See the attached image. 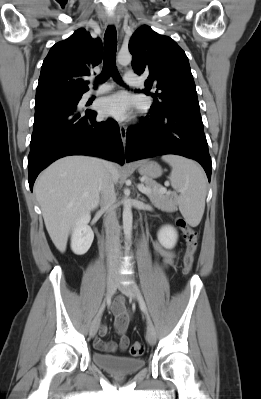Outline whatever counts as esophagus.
<instances>
[{
    "label": "esophagus",
    "instance_id": "obj_1",
    "mask_svg": "<svg viewBox=\"0 0 261 399\" xmlns=\"http://www.w3.org/2000/svg\"><path fill=\"white\" fill-rule=\"evenodd\" d=\"M108 23H109V25L116 26L117 25L116 17L114 15H110L108 17ZM119 129H120V135H121V139H122L123 145L125 146L127 128H126L124 123H120L119 124Z\"/></svg>",
    "mask_w": 261,
    "mask_h": 399
}]
</instances>
